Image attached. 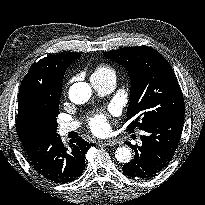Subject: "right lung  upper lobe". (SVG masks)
Listing matches in <instances>:
<instances>
[{"mask_svg":"<svg viewBox=\"0 0 205 205\" xmlns=\"http://www.w3.org/2000/svg\"><path fill=\"white\" fill-rule=\"evenodd\" d=\"M80 57L79 53L49 55L35 62L24 77L18 98L17 134L21 140L45 134L28 121L24 102L31 95H54L62 92V80L67 67Z\"/></svg>","mask_w":205,"mask_h":205,"instance_id":"cb5924a9","label":"right lung upper lobe"}]
</instances>
